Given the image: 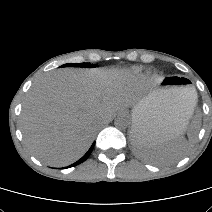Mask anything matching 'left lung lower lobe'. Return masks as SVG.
I'll list each match as a JSON object with an SVG mask.
<instances>
[{
    "mask_svg": "<svg viewBox=\"0 0 212 212\" xmlns=\"http://www.w3.org/2000/svg\"><path fill=\"white\" fill-rule=\"evenodd\" d=\"M140 130H136L133 132L132 134V138H133V145L136 147V149L138 150V146L140 145L139 143V135H140Z\"/></svg>",
    "mask_w": 212,
    "mask_h": 212,
    "instance_id": "left-lung-lower-lobe-1",
    "label": "left lung lower lobe"
}]
</instances>
